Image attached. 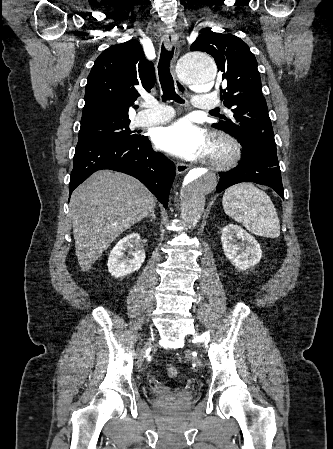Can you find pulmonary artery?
<instances>
[{"label":"pulmonary artery","instance_id":"1","mask_svg":"<svg viewBox=\"0 0 333 449\" xmlns=\"http://www.w3.org/2000/svg\"><path fill=\"white\" fill-rule=\"evenodd\" d=\"M219 105V98L214 93L203 92L193 99V106L199 110H211ZM147 109L141 111L137 117V124L141 126L165 122L173 117V110L158 103H147Z\"/></svg>","mask_w":333,"mask_h":449}]
</instances>
